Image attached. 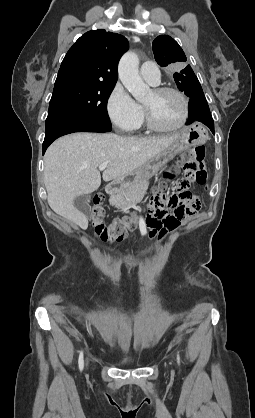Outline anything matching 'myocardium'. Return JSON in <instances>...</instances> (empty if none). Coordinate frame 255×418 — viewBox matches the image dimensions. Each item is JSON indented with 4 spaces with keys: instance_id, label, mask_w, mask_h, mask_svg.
<instances>
[{
    "instance_id": "obj_1",
    "label": "myocardium",
    "mask_w": 255,
    "mask_h": 418,
    "mask_svg": "<svg viewBox=\"0 0 255 418\" xmlns=\"http://www.w3.org/2000/svg\"><path fill=\"white\" fill-rule=\"evenodd\" d=\"M154 93L156 94H164V93H174L176 94L182 101L183 103V116L182 119L180 120V122L172 127H162L160 125H158L150 110L148 109L147 106L143 105V110H144V117H145V121H146V125L149 129H151L152 131L158 132V133H171V132H175L177 130H179L180 128H182L188 118H189V114H190V104H189V100L187 98V96L180 91L177 88L174 87H168V86H162V87H158L155 88L153 90Z\"/></svg>"
}]
</instances>
